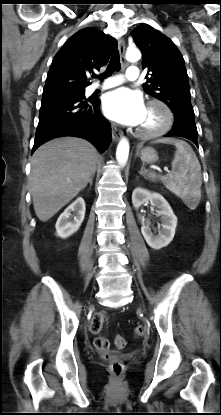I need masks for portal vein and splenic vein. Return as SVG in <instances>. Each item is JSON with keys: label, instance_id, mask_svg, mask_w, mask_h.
I'll use <instances>...</instances> for the list:
<instances>
[{"label": "portal vein and splenic vein", "instance_id": "1", "mask_svg": "<svg viewBox=\"0 0 221 415\" xmlns=\"http://www.w3.org/2000/svg\"><path fill=\"white\" fill-rule=\"evenodd\" d=\"M164 170H165L166 172H169L168 168H164Z\"/></svg>", "mask_w": 221, "mask_h": 415}]
</instances>
